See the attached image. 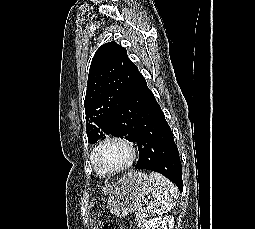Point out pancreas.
Masks as SVG:
<instances>
[{"mask_svg":"<svg viewBox=\"0 0 255 229\" xmlns=\"http://www.w3.org/2000/svg\"><path fill=\"white\" fill-rule=\"evenodd\" d=\"M146 211L143 210V211H138L136 213V217H135V220H136V223H137V226L138 227H141L144 222H145V218H146Z\"/></svg>","mask_w":255,"mask_h":229,"instance_id":"pancreas-1","label":"pancreas"}]
</instances>
